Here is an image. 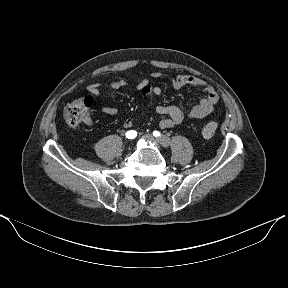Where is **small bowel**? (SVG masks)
I'll return each instance as SVG.
<instances>
[{"label": "small bowel", "instance_id": "c3829d8e", "mask_svg": "<svg viewBox=\"0 0 288 288\" xmlns=\"http://www.w3.org/2000/svg\"><path fill=\"white\" fill-rule=\"evenodd\" d=\"M154 78H166L168 79L172 86L175 89H180L184 86H193L205 93L199 103H197L192 109L185 113L180 108L176 106L162 105L156 108V113L160 118V127L161 128H171L178 124H181L185 120H198L209 115L214 106L219 100L218 93L216 90L205 82L203 79L192 76V75H176V76H167L162 75L158 72L151 74ZM129 82L126 79L114 80L109 84V87L112 89H119L125 86H128ZM137 90L143 96H160L162 94V89L158 86L151 84L147 80H143L137 84ZM88 91L95 95L100 96V84L93 83L88 86ZM102 111L108 115H114L117 112L115 107L109 105H103ZM123 126L126 129H131L135 126V120L133 118H128L124 121Z\"/></svg>", "mask_w": 288, "mask_h": 288}]
</instances>
